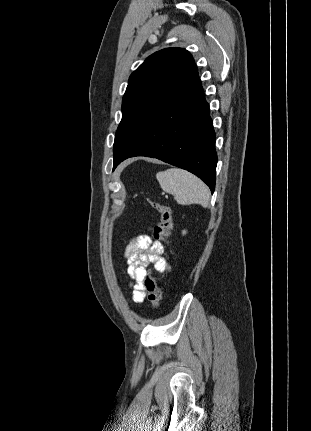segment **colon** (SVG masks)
Instances as JSON below:
<instances>
[{"mask_svg":"<svg viewBox=\"0 0 311 431\" xmlns=\"http://www.w3.org/2000/svg\"><path fill=\"white\" fill-rule=\"evenodd\" d=\"M150 205L160 215V220L154 227L153 236L156 240L162 241L165 245H168V236L172 227L171 210L168 206L155 201H150ZM143 284L152 306L157 308L162 299V295L156 278L151 270H149L145 275Z\"/></svg>","mask_w":311,"mask_h":431,"instance_id":"obj_1","label":"colon"}]
</instances>
